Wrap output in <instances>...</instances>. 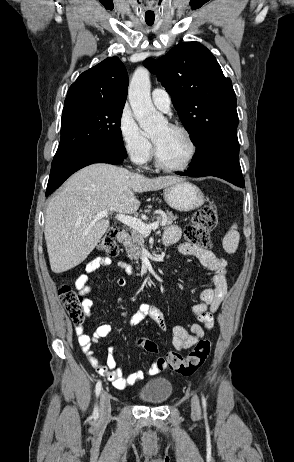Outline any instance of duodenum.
<instances>
[{
    "label": "duodenum",
    "instance_id": "obj_1",
    "mask_svg": "<svg viewBox=\"0 0 294 462\" xmlns=\"http://www.w3.org/2000/svg\"><path fill=\"white\" fill-rule=\"evenodd\" d=\"M128 232L126 230H120L118 233H117V240L120 242V243H125L127 240H128Z\"/></svg>",
    "mask_w": 294,
    "mask_h": 462
}]
</instances>
